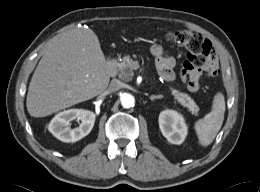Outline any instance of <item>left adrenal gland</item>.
<instances>
[{
	"mask_svg": "<svg viewBox=\"0 0 260 192\" xmlns=\"http://www.w3.org/2000/svg\"><path fill=\"white\" fill-rule=\"evenodd\" d=\"M149 98H150L151 101H154L155 99L163 98V95H151Z\"/></svg>",
	"mask_w": 260,
	"mask_h": 192,
	"instance_id": "left-adrenal-gland-1",
	"label": "left adrenal gland"
}]
</instances>
